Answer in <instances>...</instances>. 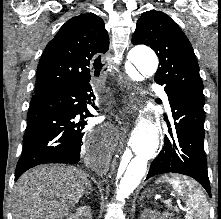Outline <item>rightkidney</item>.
I'll use <instances>...</instances> for the list:
<instances>
[{
  "mask_svg": "<svg viewBox=\"0 0 221 219\" xmlns=\"http://www.w3.org/2000/svg\"><path fill=\"white\" fill-rule=\"evenodd\" d=\"M92 213L89 206L79 207L73 214L66 219H91Z\"/></svg>",
  "mask_w": 221,
  "mask_h": 219,
  "instance_id": "right-kidney-1",
  "label": "right kidney"
}]
</instances>
